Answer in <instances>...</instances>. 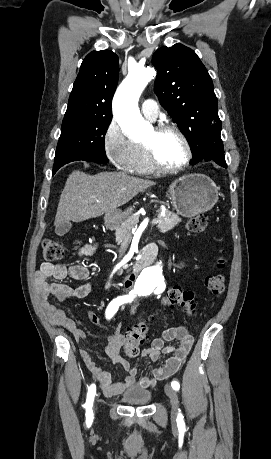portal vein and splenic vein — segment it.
Segmentation results:
<instances>
[{"instance_id":"portal-vein-and-splenic-vein-1","label":"portal vein and splenic vein","mask_w":271,"mask_h":459,"mask_svg":"<svg viewBox=\"0 0 271 459\" xmlns=\"http://www.w3.org/2000/svg\"><path fill=\"white\" fill-rule=\"evenodd\" d=\"M159 220L157 221V218H153V221L151 222L153 226L158 224Z\"/></svg>"}]
</instances>
